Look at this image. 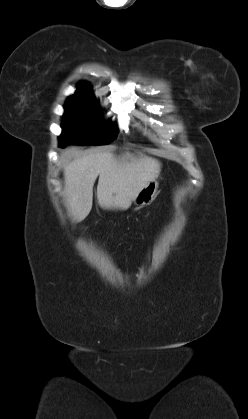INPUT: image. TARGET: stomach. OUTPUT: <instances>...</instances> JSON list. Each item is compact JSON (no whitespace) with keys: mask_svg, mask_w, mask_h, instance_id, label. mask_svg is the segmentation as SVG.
I'll list each match as a JSON object with an SVG mask.
<instances>
[{"mask_svg":"<svg viewBox=\"0 0 248 419\" xmlns=\"http://www.w3.org/2000/svg\"><path fill=\"white\" fill-rule=\"evenodd\" d=\"M157 189L158 176L138 193L133 200L134 204L140 207L150 204L156 196Z\"/></svg>","mask_w":248,"mask_h":419,"instance_id":"obj_1","label":"stomach"}]
</instances>
